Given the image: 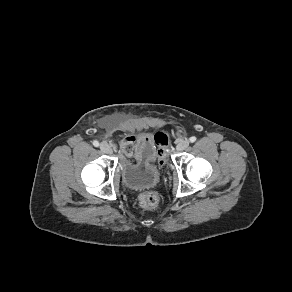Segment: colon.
Wrapping results in <instances>:
<instances>
[{
    "mask_svg": "<svg viewBox=\"0 0 292 292\" xmlns=\"http://www.w3.org/2000/svg\"><path fill=\"white\" fill-rule=\"evenodd\" d=\"M156 143L159 147V164L163 165L166 148L169 144V136L164 132H159L155 135ZM138 201L141 207L145 209H153L159 203V196L154 191H144L139 194Z\"/></svg>",
    "mask_w": 292,
    "mask_h": 292,
    "instance_id": "1",
    "label": "colon"
}]
</instances>
